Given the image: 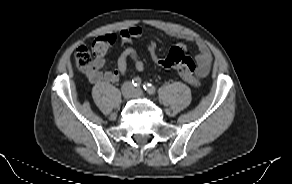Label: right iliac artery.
I'll use <instances>...</instances> for the list:
<instances>
[{"mask_svg": "<svg viewBox=\"0 0 292 184\" xmlns=\"http://www.w3.org/2000/svg\"><path fill=\"white\" fill-rule=\"evenodd\" d=\"M132 84L135 87H139L141 85V79L139 77H136L132 80Z\"/></svg>", "mask_w": 292, "mask_h": 184, "instance_id": "right-iliac-artery-1", "label": "right iliac artery"}]
</instances>
